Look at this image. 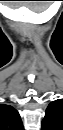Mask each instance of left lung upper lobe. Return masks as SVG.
<instances>
[{"mask_svg":"<svg viewBox=\"0 0 63 130\" xmlns=\"http://www.w3.org/2000/svg\"><path fill=\"white\" fill-rule=\"evenodd\" d=\"M42 130H63V100L49 104L42 123Z\"/></svg>","mask_w":63,"mask_h":130,"instance_id":"left-lung-upper-lobe-1","label":"left lung upper lobe"}]
</instances>
